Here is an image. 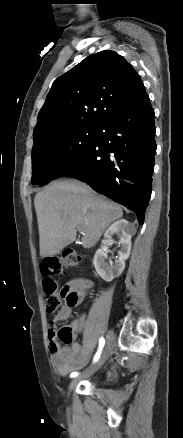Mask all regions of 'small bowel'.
Segmentation results:
<instances>
[{"instance_id": "1", "label": "small bowel", "mask_w": 183, "mask_h": 438, "mask_svg": "<svg viewBox=\"0 0 183 438\" xmlns=\"http://www.w3.org/2000/svg\"><path fill=\"white\" fill-rule=\"evenodd\" d=\"M67 286L76 291L79 295V302L85 298L88 292L92 288V282L85 278H77L71 280ZM75 305V306H76ZM67 303L61 307L56 314L54 321H65L69 319L71 310L73 307ZM86 324V316L82 315L79 319H75L70 324L74 330V335L83 331ZM49 338V350L51 354V360L58 373L62 376L67 375L71 371L82 367L87 361L88 355L81 344L78 342H70V345L61 346L58 342L56 332L50 329L48 332ZM69 344V343H66Z\"/></svg>"}]
</instances>
